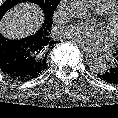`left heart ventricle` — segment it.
I'll return each instance as SVG.
<instances>
[{
	"label": "left heart ventricle",
	"mask_w": 118,
	"mask_h": 118,
	"mask_svg": "<svg viewBox=\"0 0 118 118\" xmlns=\"http://www.w3.org/2000/svg\"><path fill=\"white\" fill-rule=\"evenodd\" d=\"M110 32L114 38L118 34V25L115 26L114 28H110Z\"/></svg>",
	"instance_id": "1"
}]
</instances>
